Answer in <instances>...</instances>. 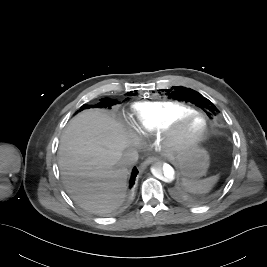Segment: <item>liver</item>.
Instances as JSON below:
<instances>
[{
	"mask_svg": "<svg viewBox=\"0 0 267 267\" xmlns=\"http://www.w3.org/2000/svg\"><path fill=\"white\" fill-rule=\"evenodd\" d=\"M128 146L122 125L101 110H85L69 122L58 165L67 192L82 208L105 214L123 203L129 174L123 155Z\"/></svg>",
	"mask_w": 267,
	"mask_h": 267,
	"instance_id": "6515ba94",
	"label": "liver"
}]
</instances>
